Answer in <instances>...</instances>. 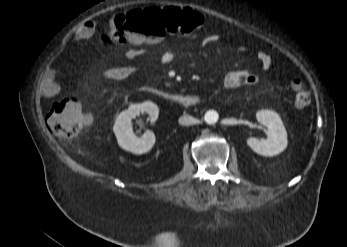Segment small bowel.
<instances>
[{
	"label": "small bowel",
	"mask_w": 347,
	"mask_h": 247,
	"mask_svg": "<svg viewBox=\"0 0 347 247\" xmlns=\"http://www.w3.org/2000/svg\"><path fill=\"white\" fill-rule=\"evenodd\" d=\"M95 31V23L91 20L86 21L80 25L74 32L73 37L76 41H84L90 38ZM221 38L220 34H210L203 39L205 46L217 43ZM139 42H135L133 48H127L124 51V55L128 59H138L144 57L147 53L145 50L137 47ZM174 53L171 51H164L160 55V61L164 64H169L174 60ZM257 60L262 69H269L272 65L271 56L264 51L257 54ZM140 70L136 65H120V66H108L103 71L102 75L105 79L112 81H122L134 77ZM57 69L54 66L45 69L41 79V87L44 95L53 96L58 93L60 87L57 82ZM259 76L249 70H237L231 71L226 74L223 79L224 86L229 89H235L240 86H253L258 84Z\"/></svg>",
	"instance_id": "small-bowel-1"
}]
</instances>
